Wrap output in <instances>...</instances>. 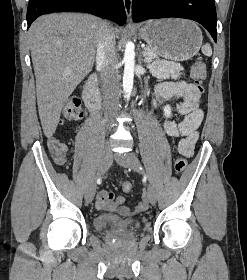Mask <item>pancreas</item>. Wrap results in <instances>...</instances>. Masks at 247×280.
Instances as JSON below:
<instances>
[{
	"label": "pancreas",
	"instance_id": "pancreas-1",
	"mask_svg": "<svg viewBox=\"0 0 247 280\" xmlns=\"http://www.w3.org/2000/svg\"><path fill=\"white\" fill-rule=\"evenodd\" d=\"M143 53L145 56L149 55L152 59H155L147 64V68L153 76L158 79H177L180 76V72L183 70L180 64L159 59L151 47H145Z\"/></svg>",
	"mask_w": 247,
	"mask_h": 280
}]
</instances>
